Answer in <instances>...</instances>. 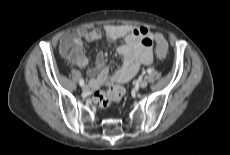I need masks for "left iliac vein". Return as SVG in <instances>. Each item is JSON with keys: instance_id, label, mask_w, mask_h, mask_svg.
Returning <instances> with one entry per match:
<instances>
[{"instance_id": "4c4485c4", "label": "left iliac vein", "mask_w": 230, "mask_h": 155, "mask_svg": "<svg viewBox=\"0 0 230 155\" xmlns=\"http://www.w3.org/2000/svg\"><path fill=\"white\" fill-rule=\"evenodd\" d=\"M147 85H148V82L145 79H143L139 82V87H141V88H146Z\"/></svg>"}]
</instances>
